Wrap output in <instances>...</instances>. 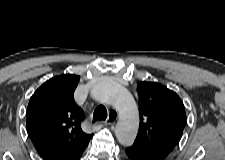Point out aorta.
<instances>
[{"instance_id": "762f6f07", "label": "aorta", "mask_w": 225, "mask_h": 160, "mask_svg": "<svg viewBox=\"0 0 225 160\" xmlns=\"http://www.w3.org/2000/svg\"><path fill=\"white\" fill-rule=\"evenodd\" d=\"M91 97L98 102L113 105L119 112L115 129L117 140L124 146L133 144L139 126L136 104L131 94L112 80H101L91 89Z\"/></svg>"}]
</instances>
